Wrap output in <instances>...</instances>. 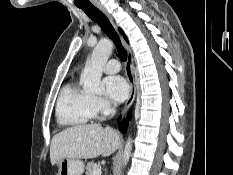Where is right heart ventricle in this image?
I'll use <instances>...</instances> for the list:
<instances>
[{
	"label": "right heart ventricle",
	"instance_id": "1",
	"mask_svg": "<svg viewBox=\"0 0 233 175\" xmlns=\"http://www.w3.org/2000/svg\"><path fill=\"white\" fill-rule=\"evenodd\" d=\"M92 96L73 82L60 91L56 102V118L64 127H81L95 117Z\"/></svg>",
	"mask_w": 233,
	"mask_h": 175
}]
</instances>
